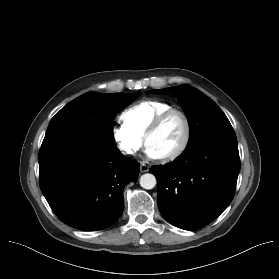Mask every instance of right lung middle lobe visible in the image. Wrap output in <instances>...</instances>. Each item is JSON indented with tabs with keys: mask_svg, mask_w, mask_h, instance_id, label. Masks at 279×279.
<instances>
[{
	"mask_svg": "<svg viewBox=\"0 0 279 279\" xmlns=\"http://www.w3.org/2000/svg\"><path fill=\"white\" fill-rule=\"evenodd\" d=\"M138 96V93H85L51 119L45 137L65 131H80L104 143L114 144L113 121L117 113Z\"/></svg>",
	"mask_w": 279,
	"mask_h": 279,
	"instance_id": "right-lung-middle-lobe-1",
	"label": "right lung middle lobe"
}]
</instances>
